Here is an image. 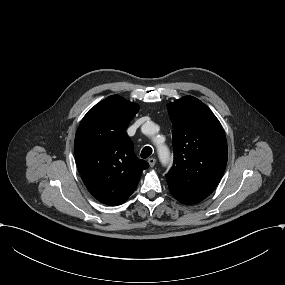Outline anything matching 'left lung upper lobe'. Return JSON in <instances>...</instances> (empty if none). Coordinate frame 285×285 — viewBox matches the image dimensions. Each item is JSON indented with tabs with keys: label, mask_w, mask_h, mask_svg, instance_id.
<instances>
[{
	"label": "left lung upper lobe",
	"mask_w": 285,
	"mask_h": 285,
	"mask_svg": "<svg viewBox=\"0 0 285 285\" xmlns=\"http://www.w3.org/2000/svg\"><path fill=\"white\" fill-rule=\"evenodd\" d=\"M173 125L174 165L166 175L171 194L195 204L212 193L228 157L224 130L199 99L185 96L168 104Z\"/></svg>",
	"instance_id": "1"
}]
</instances>
